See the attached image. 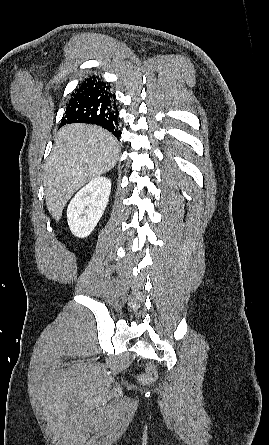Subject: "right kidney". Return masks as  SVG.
Returning a JSON list of instances; mask_svg holds the SVG:
<instances>
[{
  "instance_id": "ca27d5eb",
  "label": "right kidney",
  "mask_w": 269,
  "mask_h": 445,
  "mask_svg": "<svg viewBox=\"0 0 269 445\" xmlns=\"http://www.w3.org/2000/svg\"><path fill=\"white\" fill-rule=\"evenodd\" d=\"M111 192V181L106 177L92 179L70 201L67 208L69 228L76 237L91 234L101 219Z\"/></svg>"
}]
</instances>
